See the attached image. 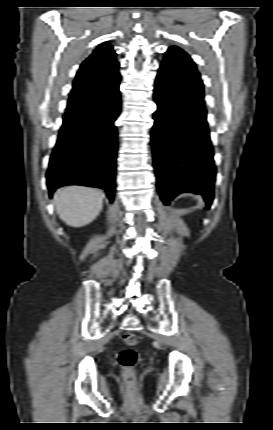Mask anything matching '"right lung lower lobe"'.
<instances>
[{
	"label": "right lung lower lobe",
	"mask_w": 273,
	"mask_h": 430,
	"mask_svg": "<svg viewBox=\"0 0 273 430\" xmlns=\"http://www.w3.org/2000/svg\"><path fill=\"white\" fill-rule=\"evenodd\" d=\"M119 83L120 76L104 80L90 89L87 103L65 113L47 172L50 195L64 185H84L104 189L114 201Z\"/></svg>",
	"instance_id": "1"
}]
</instances>
